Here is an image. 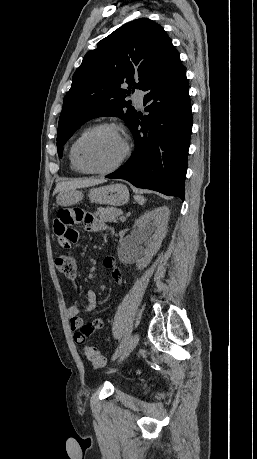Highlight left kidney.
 Listing matches in <instances>:
<instances>
[{"instance_id":"1","label":"left kidney","mask_w":257,"mask_h":459,"mask_svg":"<svg viewBox=\"0 0 257 459\" xmlns=\"http://www.w3.org/2000/svg\"><path fill=\"white\" fill-rule=\"evenodd\" d=\"M170 211L166 206L145 212L135 221L133 254L138 268L146 267L158 252L167 232ZM146 242V248L138 245Z\"/></svg>"}]
</instances>
